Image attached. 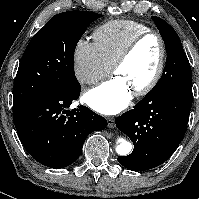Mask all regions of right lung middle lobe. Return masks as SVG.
<instances>
[{"label": "right lung middle lobe", "mask_w": 199, "mask_h": 199, "mask_svg": "<svg viewBox=\"0 0 199 199\" xmlns=\"http://www.w3.org/2000/svg\"><path fill=\"white\" fill-rule=\"evenodd\" d=\"M99 17L87 11L63 12L33 36L15 78L13 111L46 95L81 90L74 73V51L89 24Z\"/></svg>", "instance_id": "right-lung-middle-lobe-1"}]
</instances>
